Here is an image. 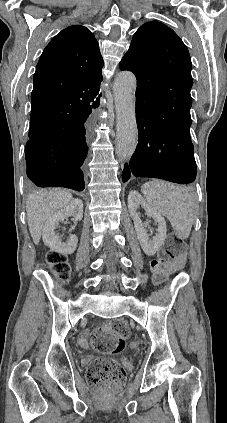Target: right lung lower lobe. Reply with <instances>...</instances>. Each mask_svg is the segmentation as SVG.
I'll use <instances>...</instances> for the list:
<instances>
[{
  "instance_id": "98d812e1",
  "label": "right lung lower lobe",
  "mask_w": 227,
  "mask_h": 423,
  "mask_svg": "<svg viewBox=\"0 0 227 423\" xmlns=\"http://www.w3.org/2000/svg\"><path fill=\"white\" fill-rule=\"evenodd\" d=\"M31 104V123L59 120L65 124L41 139L27 142L25 157L29 179L38 187L82 191L88 153L85 127L92 109L99 105V99L82 97L69 102Z\"/></svg>"
}]
</instances>
